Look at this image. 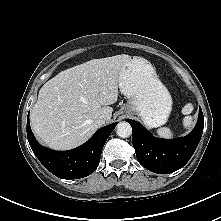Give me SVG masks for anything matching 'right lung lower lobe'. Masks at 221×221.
Returning a JSON list of instances; mask_svg holds the SVG:
<instances>
[{
	"label": "right lung lower lobe",
	"mask_w": 221,
	"mask_h": 221,
	"mask_svg": "<svg viewBox=\"0 0 221 221\" xmlns=\"http://www.w3.org/2000/svg\"><path fill=\"white\" fill-rule=\"evenodd\" d=\"M117 122L100 128L83 145L69 151H53L42 147L35 139L27 117V138L30 147L43 166L61 179H79L90 175L99 165L104 144Z\"/></svg>",
	"instance_id": "1"
}]
</instances>
